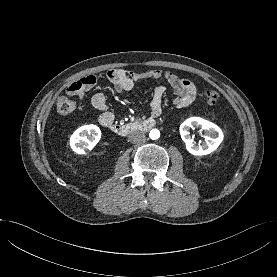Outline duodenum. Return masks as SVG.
Listing matches in <instances>:
<instances>
[{
  "label": "duodenum",
  "mask_w": 277,
  "mask_h": 277,
  "mask_svg": "<svg viewBox=\"0 0 277 277\" xmlns=\"http://www.w3.org/2000/svg\"><path fill=\"white\" fill-rule=\"evenodd\" d=\"M156 124V120L152 117L126 123L120 124L115 122H107L104 127L109 128L114 133L120 136H127L131 133L138 132V131H148L152 129Z\"/></svg>",
  "instance_id": "1"
}]
</instances>
